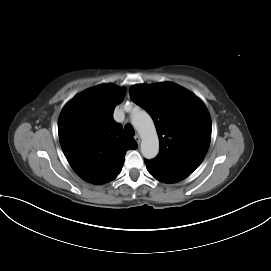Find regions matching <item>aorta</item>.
I'll return each instance as SVG.
<instances>
[{"mask_svg":"<svg viewBox=\"0 0 271 271\" xmlns=\"http://www.w3.org/2000/svg\"><path fill=\"white\" fill-rule=\"evenodd\" d=\"M131 120L142 138V155L146 159L155 158L159 152V139L152 118L147 112L139 110L132 114Z\"/></svg>","mask_w":271,"mask_h":271,"instance_id":"obj_1","label":"aorta"}]
</instances>
